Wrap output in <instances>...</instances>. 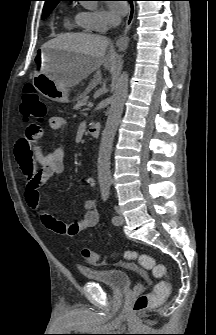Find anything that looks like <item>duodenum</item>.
<instances>
[{"instance_id": "duodenum-1", "label": "duodenum", "mask_w": 216, "mask_h": 335, "mask_svg": "<svg viewBox=\"0 0 216 335\" xmlns=\"http://www.w3.org/2000/svg\"><path fill=\"white\" fill-rule=\"evenodd\" d=\"M99 132H100V124L95 123V124H92V125L89 127V135H90L91 137H93V138L98 137Z\"/></svg>"}]
</instances>
